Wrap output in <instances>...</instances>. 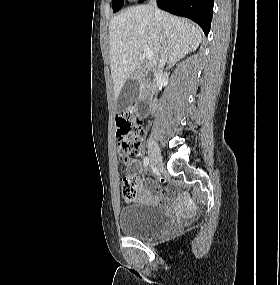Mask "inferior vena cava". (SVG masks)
<instances>
[{"instance_id":"602c4592","label":"inferior vena cava","mask_w":280,"mask_h":285,"mask_svg":"<svg viewBox=\"0 0 280 285\" xmlns=\"http://www.w3.org/2000/svg\"><path fill=\"white\" fill-rule=\"evenodd\" d=\"M151 3L153 4V7L155 8V10L157 11V7H156V0H151ZM168 61V53L167 52H163L160 55V59L158 61V68L159 71H161V69H163L164 65L167 63Z\"/></svg>"}]
</instances>
